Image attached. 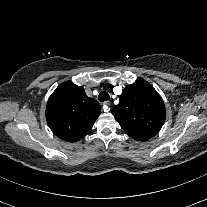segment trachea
Returning <instances> with one entry per match:
<instances>
[{
    "label": "trachea",
    "mask_w": 207,
    "mask_h": 207,
    "mask_svg": "<svg viewBox=\"0 0 207 207\" xmlns=\"http://www.w3.org/2000/svg\"><path fill=\"white\" fill-rule=\"evenodd\" d=\"M100 102H104L110 99V96L107 92H101L98 96Z\"/></svg>",
    "instance_id": "trachea-1"
}]
</instances>
